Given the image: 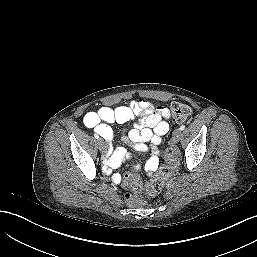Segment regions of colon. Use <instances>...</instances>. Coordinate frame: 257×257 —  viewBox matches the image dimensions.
Here are the masks:
<instances>
[{
    "instance_id": "5ec220e1",
    "label": "colon",
    "mask_w": 257,
    "mask_h": 257,
    "mask_svg": "<svg viewBox=\"0 0 257 257\" xmlns=\"http://www.w3.org/2000/svg\"><path fill=\"white\" fill-rule=\"evenodd\" d=\"M170 113L176 122H185L190 119L192 109L186 104L174 102L170 106ZM177 164L178 158L174 151L170 149L166 153V164L147 184L143 185L139 176L133 173L126 176L125 185L131 187L136 194L145 192L150 196L156 195L162 190L165 180L170 176ZM134 202L137 204H143L144 200L136 198Z\"/></svg>"
}]
</instances>
